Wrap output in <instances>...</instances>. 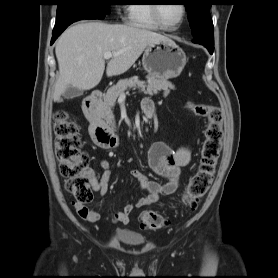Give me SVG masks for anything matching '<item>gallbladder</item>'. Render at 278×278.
<instances>
[{"label": "gallbladder", "instance_id": "gallbladder-1", "mask_svg": "<svg viewBox=\"0 0 278 278\" xmlns=\"http://www.w3.org/2000/svg\"><path fill=\"white\" fill-rule=\"evenodd\" d=\"M82 94H83V90L78 89L76 87L69 86L67 90L64 92L63 98L69 100V99L79 97ZM63 98H61L60 101H63Z\"/></svg>", "mask_w": 278, "mask_h": 278}]
</instances>
